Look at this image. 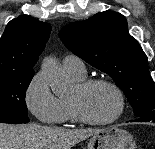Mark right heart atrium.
Instances as JSON below:
<instances>
[{"label": "right heart atrium", "mask_w": 155, "mask_h": 149, "mask_svg": "<svg viewBox=\"0 0 155 149\" xmlns=\"http://www.w3.org/2000/svg\"><path fill=\"white\" fill-rule=\"evenodd\" d=\"M25 102L38 121L48 125L60 124L64 120V104L51 91L46 76L38 72L25 90Z\"/></svg>", "instance_id": "1"}]
</instances>
